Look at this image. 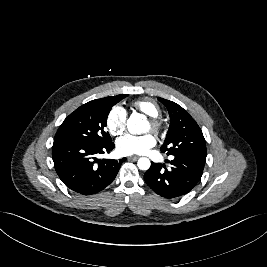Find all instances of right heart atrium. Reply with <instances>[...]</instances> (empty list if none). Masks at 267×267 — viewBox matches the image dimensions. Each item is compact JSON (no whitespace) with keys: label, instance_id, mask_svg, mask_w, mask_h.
Segmentation results:
<instances>
[{"label":"right heart atrium","instance_id":"right-heart-atrium-1","mask_svg":"<svg viewBox=\"0 0 267 267\" xmlns=\"http://www.w3.org/2000/svg\"><path fill=\"white\" fill-rule=\"evenodd\" d=\"M127 111L120 105L113 106L106 117V126L112 135H121L126 129Z\"/></svg>","mask_w":267,"mask_h":267}]
</instances>
